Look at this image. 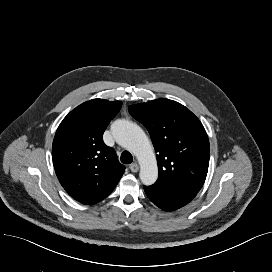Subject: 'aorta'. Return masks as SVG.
<instances>
[{"instance_id": "aorta-1", "label": "aorta", "mask_w": 272, "mask_h": 272, "mask_svg": "<svg viewBox=\"0 0 272 272\" xmlns=\"http://www.w3.org/2000/svg\"><path fill=\"white\" fill-rule=\"evenodd\" d=\"M116 141L132 151L140 164L139 177L144 185H152L158 178L157 161L152 146L137 124L127 120H117L112 126Z\"/></svg>"}]
</instances>
